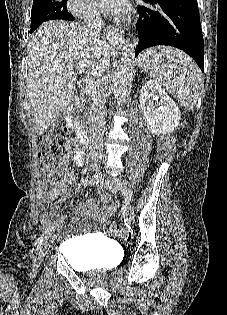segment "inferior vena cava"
Instances as JSON below:
<instances>
[{
    "mask_svg": "<svg viewBox=\"0 0 227 315\" xmlns=\"http://www.w3.org/2000/svg\"><path fill=\"white\" fill-rule=\"evenodd\" d=\"M87 23L85 27L96 38L100 37L102 19L99 11L93 7H87L84 13ZM107 68L100 67L96 76L94 92L91 96V127H90V155L100 152L103 147V136L105 132V92L108 88L109 79L106 75ZM92 85H94L92 83Z\"/></svg>",
    "mask_w": 227,
    "mask_h": 315,
    "instance_id": "602c4592",
    "label": "inferior vena cava"
}]
</instances>
